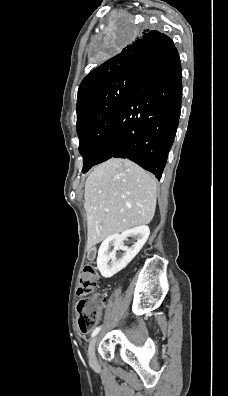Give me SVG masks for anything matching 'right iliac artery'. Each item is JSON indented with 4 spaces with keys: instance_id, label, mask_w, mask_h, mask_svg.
Segmentation results:
<instances>
[{
    "instance_id": "1",
    "label": "right iliac artery",
    "mask_w": 228,
    "mask_h": 396,
    "mask_svg": "<svg viewBox=\"0 0 228 396\" xmlns=\"http://www.w3.org/2000/svg\"><path fill=\"white\" fill-rule=\"evenodd\" d=\"M100 329H101V326L96 327L95 330L92 332V335H91V336L94 337L95 335H97L98 332L100 331Z\"/></svg>"
}]
</instances>
